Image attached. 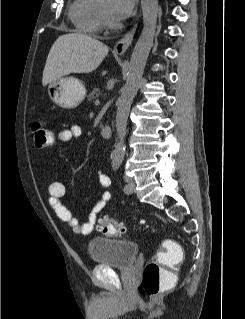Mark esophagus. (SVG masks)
Returning <instances> with one entry per match:
<instances>
[{"label": "esophagus", "instance_id": "obj_1", "mask_svg": "<svg viewBox=\"0 0 245 319\" xmlns=\"http://www.w3.org/2000/svg\"><path fill=\"white\" fill-rule=\"evenodd\" d=\"M136 28H137V24H135L133 28L115 44L114 46L115 53L123 54L126 52L130 44L132 43Z\"/></svg>", "mask_w": 245, "mask_h": 319}]
</instances>
